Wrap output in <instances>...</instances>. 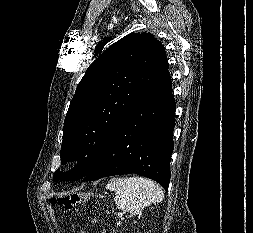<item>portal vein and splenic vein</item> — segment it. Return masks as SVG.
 I'll use <instances>...</instances> for the list:
<instances>
[{
  "label": "portal vein and splenic vein",
  "instance_id": "portal-vein-and-splenic-vein-1",
  "mask_svg": "<svg viewBox=\"0 0 253 233\" xmlns=\"http://www.w3.org/2000/svg\"><path fill=\"white\" fill-rule=\"evenodd\" d=\"M118 216H119V217H122V216H123V213H119Z\"/></svg>",
  "mask_w": 253,
  "mask_h": 233
}]
</instances>
